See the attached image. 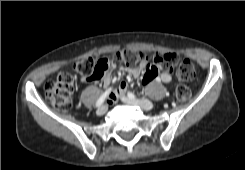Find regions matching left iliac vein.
I'll return each instance as SVG.
<instances>
[{"label": "left iliac vein", "mask_w": 245, "mask_h": 170, "mask_svg": "<svg viewBox=\"0 0 245 170\" xmlns=\"http://www.w3.org/2000/svg\"><path fill=\"white\" fill-rule=\"evenodd\" d=\"M121 100L129 105H135L140 107L143 110H151L153 109V104L150 101L145 102L144 100L139 99H131L123 94L120 95Z\"/></svg>", "instance_id": "1"}]
</instances>
